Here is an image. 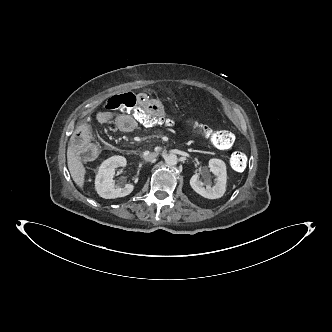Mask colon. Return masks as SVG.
Here are the masks:
<instances>
[{
	"label": "colon",
	"mask_w": 332,
	"mask_h": 332,
	"mask_svg": "<svg viewBox=\"0 0 332 332\" xmlns=\"http://www.w3.org/2000/svg\"><path fill=\"white\" fill-rule=\"evenodd\" d=\"M137 96L128 92L111 97L105 104L104 111H118L131 115L137 119L141 127L167 126L174 127L178 125V121L173 118L155 117L152 114L144 112L136 103ZM186 126L197 129L200 133L209 138L218 148L229 149L234 144V136L226 130L212 131L203 125L187 120L184 122ZM72 146L75 151L84 159H93L98 154L97 146L90 142L84 135H77ZM231 167L235 171H242L247 164V156L243 152H234L230 158Z\"/></svg>",
	"instance_id": "1"
}]
</instances>
